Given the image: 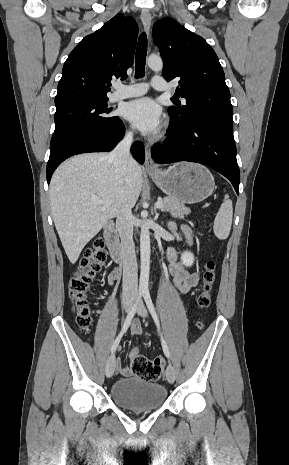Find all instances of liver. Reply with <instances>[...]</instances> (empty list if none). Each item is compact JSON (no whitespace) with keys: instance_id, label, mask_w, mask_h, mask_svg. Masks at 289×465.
Here are the masks:
<instances>
[{"instance_id":"obj_1","label":"liver","mask_w":289,"mask_h":465,"mask_svg":"<svg viewBox=\"0 0 289 465\" xmlns=\"http://www.w3.org/2000/svg\"><path fill=\"white\" fill-rule=\"evenodd\" d=\"M109 153H86L63 162L50 183L53 221L67 254L74 264L85 245L117 216L123 205L134 206L142 188V169L130 159L118 172ZM110 202L105 207L93 200Z\"/></svg>"}]
</instances>
